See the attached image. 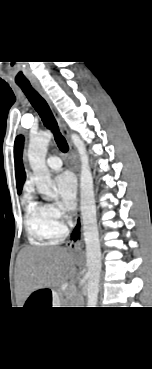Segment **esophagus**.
<instances>
[{
	"label": "esophagus",
	"mask_w": 152,
	"mask_h": 369,
	"mask_svg": "<svg viewBox=\"0 0 152 369\" xmlns=\"http://www.w3.org/2000/svg\"><path fill=\"white\" fill-rule=\"evenodd\" d=\"M33 87L40 93V95L46 100V102L48 103L54 118L56 119L61 133L62 135L65 137L68 146H69V152H70V156L72 159V163L74 165V168L77 172V176L79 177V163H78V159H77V155L75 152V149L69 139V134H68V130L66 127V124L64 122V120L62 119L61 115L59 114L58 110L56 109L55 105L53 104V102L51 101V99L49 98V96L47 95V93L44 91V89L42 88V86L37 83V82H33L32 83ZM82 217L80 213H77L76 218H75V222L74 225L72 227V230L70 232L69 238L67 240V247L72 249V250H77L79 248V245L82 241Z\"/></svg>",
	"instance_id": "esophagus-1"
}]
</instances>
